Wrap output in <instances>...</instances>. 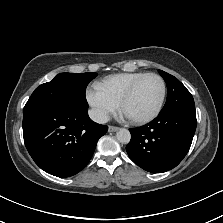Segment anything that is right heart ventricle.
I'll list each match as a JSON object with an SVG mask.
<instances>
[{
    "mask_svg": "<svg viewBox=\"0 0 223 223\" xmlns=\"http://www.w3.org/2000/svg\"><path fill=\"white\" fill-rule=\"evenodd\" d=\"M145 72H123L111 75L100 82H96L112 99L119 101L126 91L142 76Z\"/></svg>",
    "mask_w": 223,
    "mask_h": 223,
    "instance_id": "obj_1",
    "label": "right heart ventricle"
}]
</instances>
